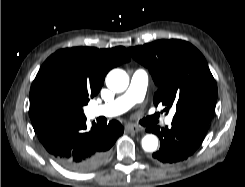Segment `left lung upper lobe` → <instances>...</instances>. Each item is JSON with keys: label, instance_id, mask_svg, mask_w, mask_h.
<instances>
[{"label": "left lung upper lobe", "instance_id": "1", "mask_svg": "<svg viewBox=\"0 0 245 187\" xmlns=\"http://www.w3.org/2000/svg\"><path fill=\"white\" fill-rule=\"evenodd\" d=\"M132 57L147 67L158 91L154 104L176 107L174 122L212 120L217 86L204 56L182 40H159L129 48Z\"/></svg>", "mask_w": 245, "mask_h": 187}]
</instances>
